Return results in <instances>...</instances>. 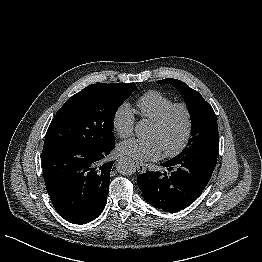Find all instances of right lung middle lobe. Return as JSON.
<instances>
[{"mask_svg": "<svg viewBox=\"0 0 262 262\" xmlns=\"http://www.w3.org/2000/svg\"><path fill=\"white\" fill-rule=\"evenodd\" d=\"M137 87L134 83L92 84L70 97L50 123L45 144L105 146L115 143L113 119Z\"/></svg>", "mask_w": 262, "mask_h": 262, "instance_id": "dd1d6c3e", "label": "right lung middle lobe"}]
</instances>
